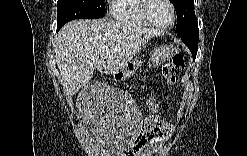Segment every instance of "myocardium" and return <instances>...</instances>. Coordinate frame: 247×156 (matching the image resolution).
<instances>
[{
	"label": "myocardium",
	"instance_id": "1",
	"mask_svg": "<svg viewBox=\"0 0 247 156\" xmlns=\"http://www.w3.org/2000/svg\"><path fill=\"white\" fill-rule=\"evenodd\" d=\"M165 1L168 6L171 9V13H172V19L168 24H158L155 23L149 16L148 11H149V7L150 4L152 2V0H144L141 2V13L144 17V19L146 20V22L148 23L149 26L153 27V28H157V29H169L171 28L176 21V11H175V7L173 5V3L170 0H163Z\"/></svg>",
	"mask_w": 247,
	"mask_h": 156
}]
</instances>
